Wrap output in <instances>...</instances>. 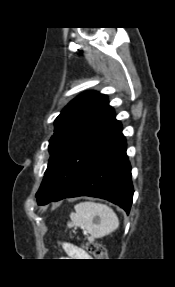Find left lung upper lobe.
Masks as SVG:
<instances>
[{"mask_svg":"<svg viewBox=\"0 0 175 287\" xmlns=\"http://www.w3.org/2000/svg\"><path fill=\"white\" fill-rule=\"evenodd\" d=\"M121 132L106 95L88 91L73 99L55 120L48 167L36 193L38 203L55 199Z\"/></svg>","mask_w":175,"mask_h":287,"instance_id":"obj_1","label":"left lung upper lobe"}]
</instances>
